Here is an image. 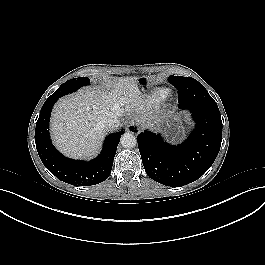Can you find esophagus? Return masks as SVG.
Masks as SVG:
<instances>
[{
	"label": "esophagus",
	"mask_w": 265,
	"mask_h": 265,
	"mask_svg": "<svg viewBox=\"0 0 265 265\" xmlns=\"http://www.w3.org/2000/svg\"><path fill=\"white\" fill-rule=\"evenodd\" d=\"M142 125L139 122H132L128 127V132L139 133L141 131Z\"/></svg>",
	"instance_id": "obj_1"
}]
</instances>
